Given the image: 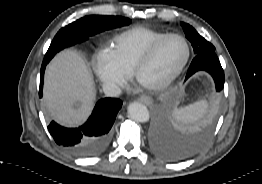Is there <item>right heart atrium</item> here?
Returning <instances> with one entry per match:
<instances>
[{
  "instance_id": "1",
  "label": "right heart atrium",
  "mask_w": 262,
  "mask_h": 184,
  "mask_svg": "<svg viewBox=\"0 0 262 184\" xmlns=\"http://www.w3.org/2000/svg\"><path fill=\"white\" fill-rule=\"evenodd\" d=\"M93 71L101 86L111 93L118 91L129 78V73L118 64L111 52L106 50L95 55Z\"/></svg>"
}]
</instances>
